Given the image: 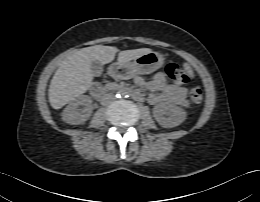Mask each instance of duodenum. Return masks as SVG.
Here are the masks:
<instances>
[{
	"mask_svg": "<svg viewBox=\"0 0 260 202\" xmlns=\"http://www.w3.org/2000/svg\"><path fill=\"white\" fill-rule=\"evenodd\" d=\"M111 73L113 75H121L122 74V70L119 67L115 66V67L111 68ZM123 90L129 91L132 94V96L134 98H136V99H142L143 98V95L141 93L129 90L128 88H125V87L123 88ZM90 91L97 98L102 97V95H103V91H101L100 89H98L96 87H92L90 89Z\"/></svg>",
	"mask_w": 260,
	"mask_h": 202,
	"instance_id": "duodenum-1",
	"label": "duodenum"
}]
</instances>
